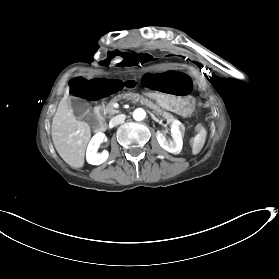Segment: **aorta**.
<instances>
[{"mask_svg":"<svg viewBox=\"0 0 279 279\" xmlns=\"http://www.w3.org/2000/svg\"><path fill=\"white\" fill-rule=\"evenodd\" d=\"M146 117V112L142 108H138L133 112V118L137 121H141Z\"/></svg>","mask_w":279,"mask_h":279,"instance_id":"obj_1","label":"aorta"}]
</instances>
